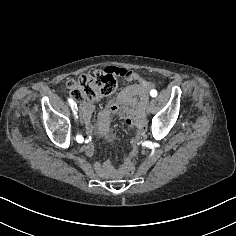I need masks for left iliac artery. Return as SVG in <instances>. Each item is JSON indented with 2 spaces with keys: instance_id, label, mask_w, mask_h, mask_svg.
<instances>
[{
  "instance_id": "left-iliac-artery-1",
  "label": "left iliac artery",
  "mask_w": 236,
  "mask_h": 236,
  "mask_svg": "<svg viewBox=\"0 0 236 236\" xmlns=\"http://www.w3.org/2000/svg\"><path fill=\"white\" fill-rule=\"evenodd\" d=\"M150 95L152 96V97H156L157 96V91L156 90H151L150 91Z\"/></svg>"
}]
</instances>
